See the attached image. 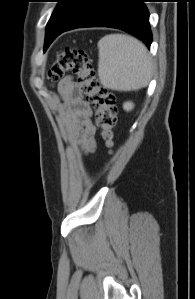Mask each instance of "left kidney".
Instances as JSON below:
<instances>
[{"mask_svg": "<svg viewBox=\"0 0 195 299\" xmlns=\"http://www.w3.org/2000/svg\"><path fill=\"white\" fill-rule=\"evenodd\" d=\"M133 107H134V105H133V103H131V102H126V103H124V105H123V108H124V110H126V111H130V110H132Z\"/></svg>", "mask_w": 195, "mask_h": 299, "instance_id": "1", "label": "left kidney"}]
</instances>
